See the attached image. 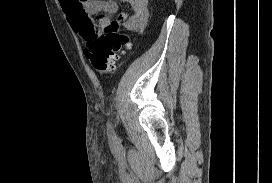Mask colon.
I'll use <instances>...</instances> for the list:
<instances>
[{
  "mask_svg": "<svg viewBox=\"0 0 272 183\" xmlns=\"http://www.w3.org/2000/svg\"><path fill=\"white\" fill-rule=\"evenodd\" d=\"M111 25L120 24L114 22ZM129 45V37L122 30H109V34L97 36L88 42L86 56L100 74H112Z\"/></svg>",
  "mask_w": 272,
  "mask_h": 183,
  "instance_id": "colon-1",
  "label": "colon"
}]
</instances>
